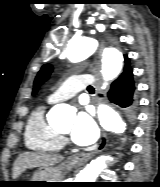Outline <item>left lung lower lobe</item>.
Here are the masks:
<instances>
[{"label": "left lung lower lobe", "instance_id": "left-lung-lower-lobe-1", "mask_svg": "<svg viewBox=\"0 0 160 187\" xmlns=\"http://www.w3.org/2000/svg\"><path fill=\"white\" fill-rule=\"evenodd\" d=\"M125 65L121 75L111 84L108 98L111 102L123 109L128 119H133L137 108V97L135 94V84L133 71L130 67L129 59L124 57Z\"/></svg>", "mask_w": 160, "mask_h": 187}]
</instances>
